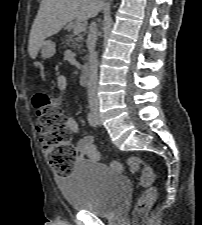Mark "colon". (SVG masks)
Here are the masks:
<instances>
[{
    "instance_id": "1",
    "label": "colon",
    "mask_w": 202,
    "mask_h": 225,
    "mask_svg": "<svg viewBox=\"0 0 202 225\" xmlns=\"http://www.w3.org/2000/svg\"><path fill=\"white\" fill-rule=\"evenodd\" d=\"M34 98L39 106L35 128L47 163L56 175L66 176L72 172L78 152L77 147L71 143V132L51 93L37 92ZM112 164L117 168L121 167L116 160ZM127 166L130 173L139 174V185L143 187L134 210L136 219H139L157 199L155 174L148 163L137 156L130 157Z\"/></svg>"
}]
</instances>
